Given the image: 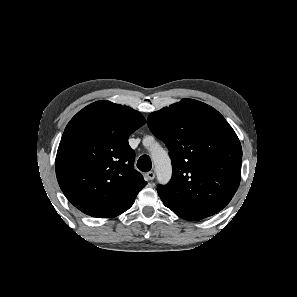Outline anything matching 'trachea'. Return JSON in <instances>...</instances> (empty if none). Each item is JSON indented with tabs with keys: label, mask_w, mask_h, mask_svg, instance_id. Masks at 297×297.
Here are the masks:
<instances>
[{
	"label": "trachea",
	"mask_w": 297,
	"mask_h": 297,
	"mask_svg": "<svg viewBox=\"0 0 297 297\" xmlns=\"http://www.w3.org/2000/svg\"><path fill=\"white\" fill-rule=\"evenodd\" d=\"M137 167L143 172L150 171L152 168L150 157L147 155H142L137 161Z\"/></svg>",
	"instance_id": "3493384b"
}]
</instances>
